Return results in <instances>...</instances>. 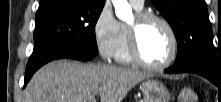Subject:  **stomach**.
<instances>
[{"mask_svg":"<svg viewBox=\"0 0 221 102\" xmlns=\"http://www.w3.org/2000/svg\"><path fill=\"white\" fill-rule=\"evenodd\" d=\"M144 102H170L171 94L164 84L157 80H146L141 84Z\"/></svg>","mask_w":221,"mask_h":102,"instance_id":"stomach-1","label":"stomach"}]
</instances>
